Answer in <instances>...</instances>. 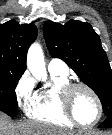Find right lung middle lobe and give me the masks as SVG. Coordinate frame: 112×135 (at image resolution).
<instances>
[{
	"label": "right lung middle lobe",
	"instance_id": "1",
	"mask_svg": "<svg viewBox=\"0 0 112 135\" xmlns=\"http://www.w3.org/2000/svg\"><path fill=\"white\" fill-rule=\"evenodd\" d=\"M22 73L0 74V111L11 117L17 115V98L15 88Z\"/></svg>",
	"mask_w": 112,
	"mask_h": 135
}]
</instances>
